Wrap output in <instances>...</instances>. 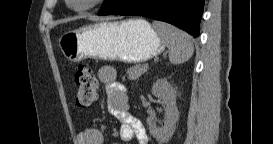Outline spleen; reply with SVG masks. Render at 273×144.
<instances>
[{
	"label": "spleen",
	"mask_w": 273,
	"mask_h": 144,
	"mask_svg": "<svg viewBox=\"0 0 273 144\" xmlns=\"http://www.w3.org/2000/svg\"><path fill=\"white\" fill-rule=\"evenodd\" d=\"M153 28L168 47L169 60L172 64H182L192 57L194 53L192 38L186 32L158 21L153 22Z\"/></svg>",
	"instance_id": "obj_1"
}]
</instances>
